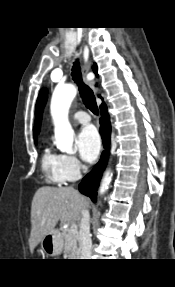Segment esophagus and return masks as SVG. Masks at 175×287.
I'll use <instances>...</instances> for the list:
<instances>
[{"label": "esophagus", "mask_w": 175, "mask_h": 287, "mask_svg": "<svg viewBox=\"0 0 175 287\" xmlns=\"http://www.w3.org/2000/svg\"><path fill=\"white\" fill-rule=\"evenodd\" d=\"M82 73H83V77L86 80V82L88 83V85L91 87L93 92L95 94H97L98 93V87L96 86V83H95L94 74L92 72H90V62H87L83 65Z\"/></svg>", "instance_id": "obj_1"}]
</instances>
